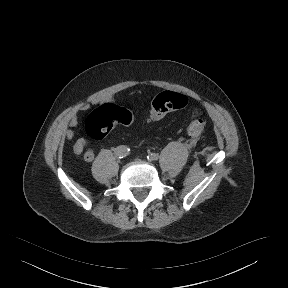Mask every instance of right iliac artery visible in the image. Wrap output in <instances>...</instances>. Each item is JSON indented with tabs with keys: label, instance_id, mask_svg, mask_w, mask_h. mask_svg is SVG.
I'll use <instances>...</instances> for the list:
<instances>
[{
	"label": "right iliac artery",
	"instance_id": "right-iliac-artery-1",
	"mask_svg": "<svg viewBox=\"0 0 288 288\" xmlns=\"http://www.w3.org/2000/svg\"><path fill=\"white\" fill-rule=\"evenodd\" d=\"M129 149L127 150L125 146H119L115 150V154L118 158H123L125 157L128 153Z\"/></svg>",
	"mask_w": 288,
	"mask_h": 288
}]
</instances>
